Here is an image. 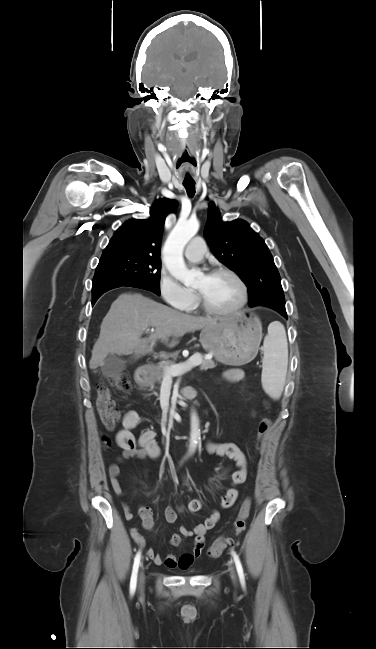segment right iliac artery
<instances>
[{
    "label": "right iliac artery",
    "instance_id": "right-iliac-artery-1",
    "mask_svg": "<svg viewBox=\"0 0 376 649\" xmlns=\"http://www.w3.org/2000/svg\"><path fill=\"white\" fill-rule=\"evenodd\" d=\"M140 558H141V552L139 551L135 558H134V564H133V569H132V575H131V580H130V593L133 594L136 589L137 585V574H138V569H139V563H140Z\"/></svg>",
    "mask_w": 376,
    "mask_h": 649
}]
</instances>
